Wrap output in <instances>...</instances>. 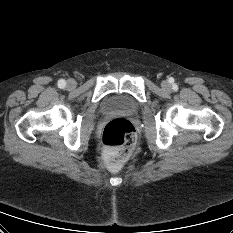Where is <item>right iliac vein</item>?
Instances as JSON below:
<instances>
[{
	"label": "right iliac vein",
	"instance_id": "1",
	"mask_svg": "<svg viewBox=\"0 0 233 233\" xmlns=\"http://www.w3.org/2000/svg\"><path fill=\"white\" fill-rule=\"evenodd\" d=\"M75 87H76V81L73 80V79H69V80L67 81V88L70 89V90H72V89H74Z\"/></svg>",
	"mask_w": 233,
	"mask_h": 233
}]
</instances>
